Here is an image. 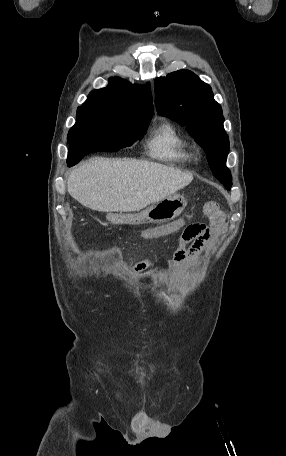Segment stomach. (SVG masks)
<instances>
[{
	"mask_svg": "<svg viewBox=\"0 0 286 456\" xmlns=\"http://www.w3.org/2000/svg\"><path fill=\"white\" fill-rule=\"evenodd\" d=\"M186 205L184 196L172 194L148 206L140 213V217L146 223H164L179 216Z\"/></svg>",
	"mask_w": 286,
	"mask_h": 456,
	"instance_id": "stomach-1",
	"label": "stomach"
}]
</instances>
